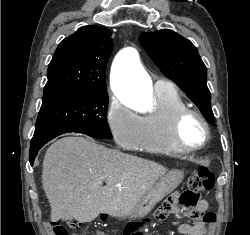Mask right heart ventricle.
<instances>
[{"mask_svg":"<svg viewBox=\"0 0 250 235\" xmlns=\"http://www.w3.org/2000/svg\"><path fill=\"white\" fill-rule=\"evenodd\" d=\"M154 105L141 117V137L136 148L150 153L180 155L183 153L172 141L170 127L174 114L187 107L173 87L154 90Z\"/></svg>","mask_w":250,"mask_h":235,"instance_id":"1","label":"right heart ventricle"}]
</instances>
